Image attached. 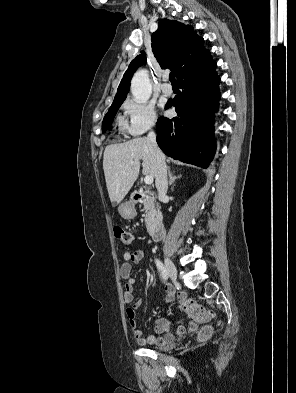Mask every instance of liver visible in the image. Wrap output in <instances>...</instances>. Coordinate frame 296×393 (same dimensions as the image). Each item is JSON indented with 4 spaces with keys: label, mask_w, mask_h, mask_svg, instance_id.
Masks as SVG:
<instances>
[{
    "label": "liver",
    "mask_w": 296,
    "mask_h": 393,
    "mask_svg": "<svg viewBox=\"0 0 296 393\" xmlns=\"http://www.w3.org/2000/svg\"><path fill=\"white\" fill-rule=\"evenodd\" d=\"M141 160L142 173L156 178V165L146 138H135L105 148L103 170L113 204L120 203L132 188L139 175Z\"/></svg>",
    "instance_id": "obj_1"
}]
</instances>
